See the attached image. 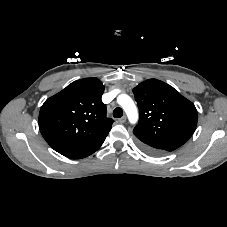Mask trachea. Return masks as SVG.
I'll return each instance as SVG.
<instances>
[{"label": "trachea", "mask_w": 227, "mask_h": 227, "mask_svg": "<svg viewBox=\"0 0 227 227\" xmlns=\"http://www.w3.org/2000/svg\"><path fill=\"white\" fill-rule=\"evenodd\" d=\"M122 115H123V110L120 107H117V108L114 109L113 116L115 118H121Z\"/></svg>", "instance_id": "3493384b"}]
</instances>
